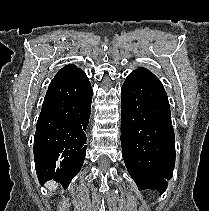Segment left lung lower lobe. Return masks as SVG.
Here are the masks:
<instances>
[{
    "label": "left lung lower lobe",
    "instance_id": "0a47b994",
    "mask_svg": "<svg viewBox=\"0 0 209 211\" xmlns=\"http://www.w3.org/2000/svg\"><path fill=\"white\" fill-rule=\"evenodd\" d=\"M121 146L138 189L164 192L175 166L174 130L164 87L145 68L131 72L121 89Z\"/></svg>",
    "mask_w": 209,
    "mask_h": 211
}]
</instances>
